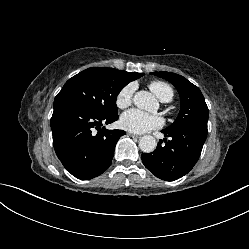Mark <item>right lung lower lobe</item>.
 <instances>
[{
    "label": "right lung lower lobe",
    "instance_id": "98d812e1",
    "mask_svg": "<svg viewBox=\"0 0 249 249\" xmlns=\"http://www.w3.org/2000/svg\"><path fill=\"white\" fill-rule=\"evenodd\" d=\"M117 119L118 114L100 116L68 99H55L50 122L53 145L59 160L73 176L92 179L110 166L116 143L126 133L101 126Z\"/></svg>",
    "mask_w": 249,
    "mask_h": 249
}]
</instances>
